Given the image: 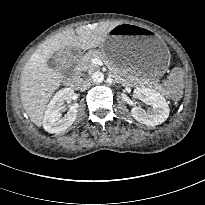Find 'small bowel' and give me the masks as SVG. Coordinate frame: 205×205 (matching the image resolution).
Returning a JSON list of instances; mask_svg holds the SVG:
<instances>
[{"label":"small bowel","instance_id":"small-bowel-1","mask_svg":"<svg viewBox=\"0 0 205 205\" xmlns=\"http://www.w3.org/2000/svg\"><path fill=\"white\" fill-rule=\"evenodd\" d=\"M181 81V74L178 71H174L165 80V86L173 97H177L179 95L181 91Z\"/></svg>","mask_w":205,"mask_h":205}]
</instances>
